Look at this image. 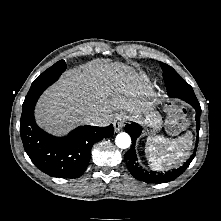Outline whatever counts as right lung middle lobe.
I'll return each instance as SVG.
<instances>
[{"instance_id":"right-lung-middle-lobe-1","label":"right lung middle lobe","mask_w":221,"mask_h":221,"mask_svg":"<svg viewBox=\"0 0 221 221\" xmlns=\"http://www.w3.org/2000/svg\"><path fill=\"white\" fill-rule=\"evenodd\" d=\"M66 63L60 60L53 66L44 71L31 85L30 90L25 97L22 109L35 104L43 91L53 84L65 71Z\"/></svg>"}]
</instances>
